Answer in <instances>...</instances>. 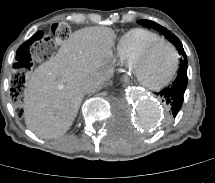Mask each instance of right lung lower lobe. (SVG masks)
I'll list each match as a JSON object with an SVG mask.
<instances>
[{
  "instance_id": "right-lung-lower-lobe-1",
  "label": "right lung lower lobe",
  "mask_w": 215,
  "mask_h": 183,
  "mask_svg": "<svg viewBox=\"0 0 215 183\" xmlns=\"http://www.w3.org/2000/svg\"><path fill=\"white\" fill-rule=\"evenodd\" d=\"M21 87L19 86V84H16L12 89H11V91L13 92V94L15 95H17V93H18V90L20 89Z\"/></svg>"
}]
</instances>
